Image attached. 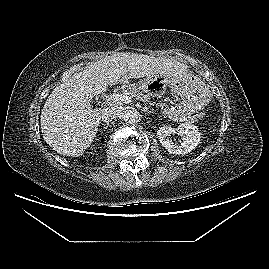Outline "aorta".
<instances>
[{"instance_id":"1","label":"aorta","mask_w":269,"mask_h":269,"mask_svg":"<svg viewBox=\"0 0 269 269\" xmlns=\"http://www.w3.org/2000/svg\"><path fill=\"white\" fill-rule=\"evenodd\" d=\"M123 118L128 123H137L141 120V114L136 109H129L124 113Z\"/></svg>"}]
</instances>
